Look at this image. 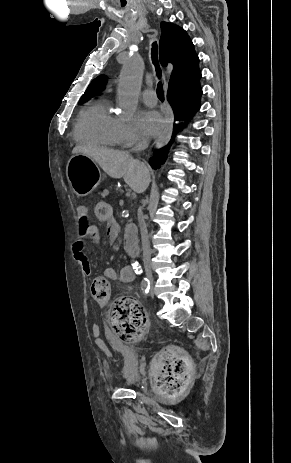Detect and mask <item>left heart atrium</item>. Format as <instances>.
<instances>
[{
  "mask_svg": "<svg viewBox=\"0 0 291 463\" xmlns=\"http://www.w3.org/2000/svg\"><path fill=\"white\" fill-rule=\"evenodd\" d=\"M140 126L146 136H156L164 130L165 123L158 112L148 110L141 113Z\"/></svg>",
  "mask_w": 291,
  "mask_h": 463,
  "instance_id": "left-heart-atrium-1",
  "label": "left heart atrium"
}]
</instances>
